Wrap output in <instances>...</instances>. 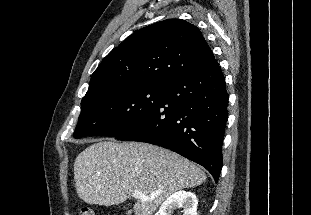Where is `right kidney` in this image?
I'll return each mask as SVG.
<instances>
[{
  "instance_id": "1",
  "label": "right kidney",
  "mask_w": 311,
  "mask_h": 215,
  "mask_svg": "<svg viewBox=\"0 0 311 215\" xmlns=\"http://www.w3.org/2000/svg\"><path fill=\"white\" fill-rule=\"evenodd\" d=\"M198 200L194 193L180 190L171 194L155 215H170L176 208H183V215H197Z\"/></svg>"
}]
</instances>
